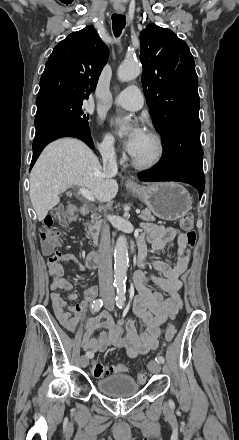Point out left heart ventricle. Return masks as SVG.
Instances as JSON below:
<instances>
[{"label":"left heart ventricle","mask_w":239,"mask_h":440,"mask_svg":"<svg viewBox=\"0 0 239 440\" xmlns=\"http://www.w3.org/2000/svg\"><path fill=\"white\" fill-rule=\"evenodd\" d=\"M157 148L154 140L152 137L147 133L142 140L138 150L134 154V156L144 160V161H150L154 158L156 155Z\"/></svg>","instance_id":"obj_1"}]
</instances>
